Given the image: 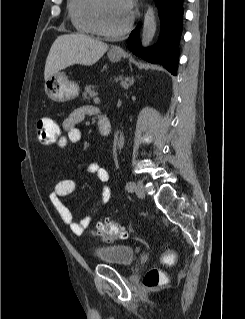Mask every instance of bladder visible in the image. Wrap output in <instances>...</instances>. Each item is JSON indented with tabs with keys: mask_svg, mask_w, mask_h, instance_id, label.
Masks as SVG:
<instances>
[{
	"mask_svg": "<svg viewBox=\"0 0 245 319\" xmlns=\"http://www.w3.org/2000/svg\"><path fill=\"white\" fill-rule=\"evenodd\" d=\"M95 257L98 261L128 266L134 260V248L127 244H111L96 248Z\"/></svg>",
	"mask_w": 245,
	"mask_h": 319,
	"instance_id": "1",
	"label": "bladder"
}]
</instances>
